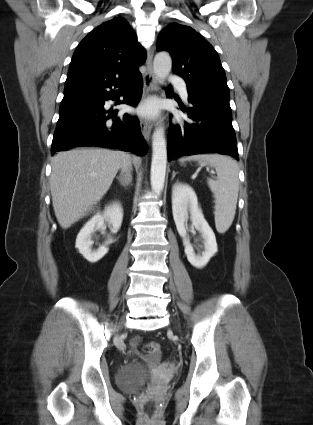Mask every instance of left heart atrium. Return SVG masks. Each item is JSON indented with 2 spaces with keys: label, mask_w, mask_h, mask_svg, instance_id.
<instances>
[{
  "label": "left heart atrium",
  "mask_w": 313,
  "mask_h": 425,
  "mask_svg": "<svg viewBox=\"0 0 313 425\" xmlns=\"http://www.w3.org/2000/svg\"><path fill=\"white\" fill-rule=\"evenodd\" d=\"M156 111H157V106L154 102L147 103L141 109L142 113L146 115H150V116L154 115Z\"/></svg>",
  "instance_id": "left-heart-atrium-1"
}]
</instances>
